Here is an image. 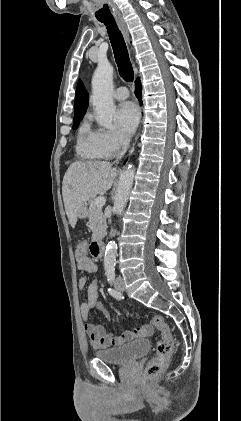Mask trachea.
I'll return each mask as SVG.
<instances>
[{
  "label": "trachea",
  "instance_id": "trachea-1",
  "mask_svg": "<svg viewBox=\"0 0 241 421\" xmlns=\"http://www.w3.org/2000/svg\"><path fill=\"white\" fill-rule=\"evenodd\" d=\"M99 21L104 23L107 28L120 76L126 82H132L134 72L121 31L114 19H99Z\"/></svg>",
  "mask_w": 241,
  "mask_h": 421
}]
</instances>
